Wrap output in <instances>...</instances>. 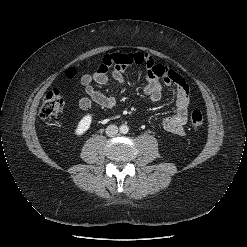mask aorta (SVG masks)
<instances>
[{
	"mask_svg": "<svg viewBox=\"0 0 247 247\" xmlns=\"http://www.w3.org/2000/svg\"><path fill=\"white\" fill-rule=\"evenodd\" d=\"M119 130H120V133L127 134L128 131H129V128H128L127 125H121L120 128H119Z\"/></svg>",
	"mask_w": 247,
	"mask_h": 247,
	"instance_id": "762f6f07",
	"label": "aorta"
}]
</instances>
